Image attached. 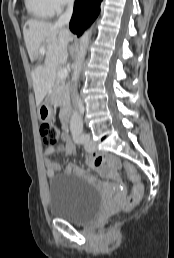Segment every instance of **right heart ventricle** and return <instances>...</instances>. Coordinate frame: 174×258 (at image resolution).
Instances as JSON below:
<instances>
[{
    "instance_id": "e07e8e85",
    "label": "right heart ventricle",
    "mask_w": 174,
    "mask_h": 258,
    "mask_svg": "<svg viewBox=\"0 0 174 258\" xmlns=\"http://www.w3.org/2000/svg\"><path fill=\"white\" fill-rule=\"evenodd\" d=\"M26 10L37 19L50 18L54 11L48 0H24Z\"/></svg>"
}]
</instances>
